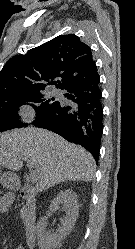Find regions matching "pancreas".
Returning a JSON list of instances; mask_svg holds the SVG:
<instances>
[{
  "mask_svg": "<svg viewBox=\"0 0 135 249\" xmlns=\"http://www.w3.org/2000/svg\"><path fill=\"white\" fill-rule=\"evenodd\" d=\"M21 218L23 219L24 222H27L28 215L31 214V206L29 204H26L21 211Z\"/></svg>",
  "mask_w": 135,
  "mask_h": 249,
  "instance_id": "pancreas-1",
  "label": "pancreas"
}]
</instances>
